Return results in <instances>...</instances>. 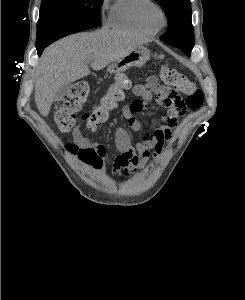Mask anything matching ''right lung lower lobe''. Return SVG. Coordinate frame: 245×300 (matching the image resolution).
I'll return each instance as SVG.
<instances>
[{"label": "right lung lower lobe", "mask_w": 245, "mask_h": 300, "mask_svg": "<svg viewBox=\"0 0 245 300\" xmlns=\"http://www.w3.org/2000/svg\"><path fill=\"white\" fill-rule=\"evenodd\" d=\"M101 25V22L99 24H92V25H87V29H90V28H95V27H98ZM48 46V45H41L40 47H36L37 48V52H38V55H41L42 51L44 50V48Z\"/></svg>", "instance_id": "right-lung-lower-lobe-1"}]
</instances>
